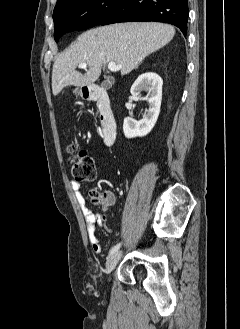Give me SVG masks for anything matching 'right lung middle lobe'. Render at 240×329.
Instances as JSON below:
<instances>
[{
	"mask_svg": "<svg viewBox=\"0 0 240 329\" xmlns=\"http://www.w3.org/2000/svg\"><path fill=\"white\" fill-rule=\"evenodd\" d=\"M126 0H69L54 9V39L68 31L99 25Z\"/></svg>",
	"mask_w": 240,
	"mask_h": 329,
	"instance_id": "obj_1",
	"label": "right lung middle lobe"
}]
</instances>
